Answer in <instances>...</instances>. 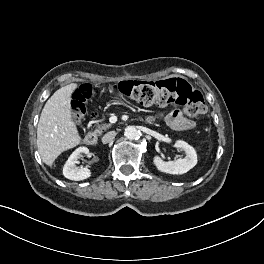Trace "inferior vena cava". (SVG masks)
<instances>
[{
    "label": "inferior vena cava",
    "mask_w": 264,
    "mask_h": 264,
    "mask_svg": "<svg viewBox=\"0 0 264 264\" xmlns=\"http://www.w3.org/2000/svg\"><path fill=\"white\" fill-rule=\"evenodd\" d=\"M116 136V132L115 131H110L107 132L103 137H102V143L107 144L111 141H113V139Z\"/></svg>",
    "instance_id": "inferior-vena-cava-1"
}]
</instances>
